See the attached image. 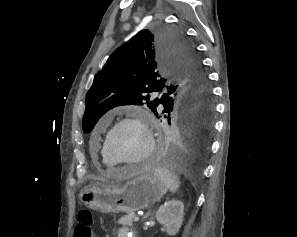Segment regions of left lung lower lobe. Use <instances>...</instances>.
I'll return each mask as SVG.
<instances>
[{"label":"left lung lower lobe","mask_w":297,"mask_h":237,"mask_svg":"<svg viewBox=\"0 0 297 237\" xmlns=\"http://www.w3.org/2000/svg\"><path fill=\"white\" fill-rule=\"evenodd\" d=\"M165 117L174 116L159 146L157 158L174 167H197L206 157L213 130L214 104H177L168 98ZM166 104H164L166 106ZM170 125H172L169 122Z\"/></svg>","instance_id":"left-lung-lower-lobe-1"}]
</instances>
